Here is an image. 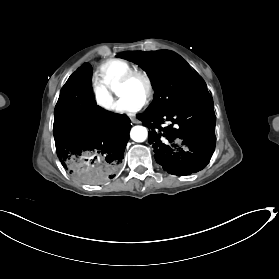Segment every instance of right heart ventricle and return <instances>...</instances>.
I'll use <instances>...</instances> for the list:
<instances>
[{
    "instance_id": "e07e8e85",
    "label": "right heart ventricle",
    "mask_w": 279,
    "mask_h": 279,
    "mask_svg": "<svg viewBox=\"0 0 279 279\" xmlns=\"http://www.w3.org/2000/svg\"><path fill=\"white\" fill-rule=\"evenodd\" d=\"M132 69H136V67L124 59H107L96 68L94 72L95 82L114 92L117 90L118 82L122 76Z\"/></svg>"
}]
</instances>
